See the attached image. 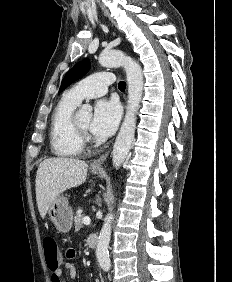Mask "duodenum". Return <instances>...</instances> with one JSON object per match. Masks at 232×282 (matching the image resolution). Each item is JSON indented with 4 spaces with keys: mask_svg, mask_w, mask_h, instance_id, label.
I'll list each match as a JSON object with an SVG mask.
<instances>
[{
    "mask_svg": "<svg viewBox=\"0 0 232 282\" xmlns=\"http://www.w3.org/2000/svg\"><path fill=\"white\" fill-rule=\"evenodd\" d=\"M98 236L95 234H91L88 238H87V245L89 248H96L98 246Z\"/></svg>",
    "mask_w": 232,
    "mask_h": 282,
    "instance_id": "410a0bca",
    "label": "duodenum"
}]
</instances>
